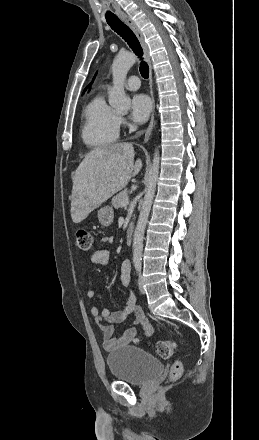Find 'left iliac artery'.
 I'll return each instance as SVG.
<instances>
[{"instance_id":"1","label":"left iliac artery","mask_w":259,"mask_h":440,"mask_svg":"<svg viewBox=\"0 0 259 440\" xmlns=\"http://www.w3.org/2000/svg\"><path fill=\"white\" fill-rule=\"evenodd\" d=\"M135 268H136V272H137L138 274H140V272H141V265H140V264H136V265H135Z\"/></svg>"}]
</instances>
